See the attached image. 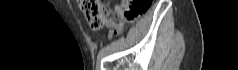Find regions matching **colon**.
<instances>
[{"mask_svg":"<svg viewBox=\"0 0 238 70\" xmlns=\"http://www.w3.org/2000/svg\"><path fill=\"white\" fill-rule=\"evenodd\" d=\"M78 6L93 29H100L106 23L107 9L99 0H78ZM150 0H122L116 8L117 13L126 21L139 18L149 7Z\"/></svg>","mask_w":238,"mask_h":70,"instance_id":"obj_1","label":"colon"}]
</instances>
